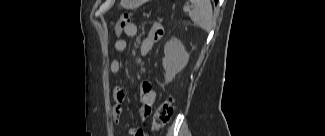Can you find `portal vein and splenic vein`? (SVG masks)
Returning <instances> with one entry per match:
<instances>
[{"mask_svg": "<svg viewBox=\"0 0 325 136\" xmlns=\"http://www.w3.org/2000/svg\"><path fill=\"white\" fill-rule=\"evenodd\" d=\"M185 10H189V7H186Z\"/></svg>", "mask_w": 325, "mask_h": 136, "instance_id": "18ae733b", "label": "portal vein and splenic vein"}]
</instances>
